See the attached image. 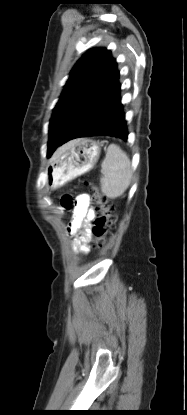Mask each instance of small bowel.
Instances as JSON below:
<instances>
[{"label":"small bowel","mask_w":187,"mask_h":415,"mask_svg":"<svg viewBox=\"0 0 187 415\" xmlns=\"http://www.w3.org/2000/svg\"><path fill=\"white\" fill-rule=\"evenodd\" d=\"M94 218L95 210L90 205V197L87 194L80 195L74 208L72 220L67 227L69 234H74L79 228H82L72 243L75 252L87 254L90 251L89 226Z\"/></svg>","instance_id":"1"}]
</instances>
